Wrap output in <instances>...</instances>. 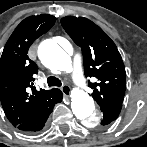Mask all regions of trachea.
<instances>
[{"mask_svg":"<svg viewBox=\"0 0 147 147\" xmlns=\"http://www.w3.org/2000/svg\"><path fill=\"white\" fill-rule=\"evenodd\" d=\"M47 85L48 86H61L62 84H61V81L58 79V78H56V77H53V76H49L48 78H47Z\"/></svg>","mask_w":147,"mask_h":147,"instance_id":"obj_1","label":"trachea"}]
</instances>
